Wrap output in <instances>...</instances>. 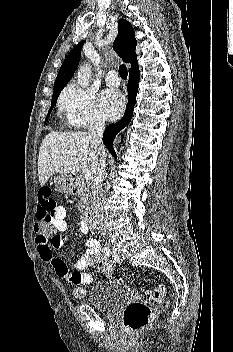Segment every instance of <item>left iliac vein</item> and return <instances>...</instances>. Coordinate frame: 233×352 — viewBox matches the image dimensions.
I'll return each mask as SVG.
<instances>
[{
	"instance_id": "left-iliac-vein-1",
	"label": "left iliac vein",
	"mask_w": 233,
	"mask_h": 352,
	"mask_svg": "<svg viewBox=\"0 0 233 352\" xmlns=\"http://www.w3.org/2000/svg\"><path fill=\"white\" fill-rule=\"evenodd\" d=\"M118 254L121 260H124L128 257L127 253L123 249H118Z\"/></svg>"
}]
</instances>
